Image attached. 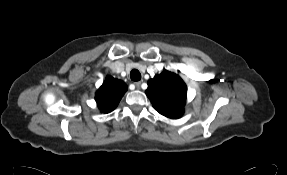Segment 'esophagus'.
<instances>
[{
  "mask_svg": "<svg viewBox=\"0 0 287 175\" xmlns=\"http://www.w3.org/2000/svg\"><path fill=\"white\" fill-rule=\"evenodd\" d=\"M134 85L136 86L137 89H140L141 81L135 82Z\"/></svg>",
  "mask_w": 287,
  "mask_h": 175,
  "instance_id": "obj_1",
  "label": "esophagus"
}]
</instances>
